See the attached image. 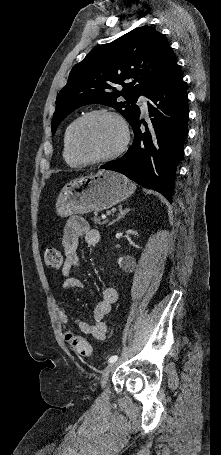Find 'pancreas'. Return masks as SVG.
<instances>
[{
  "mask_svg": "<svg viewBox=\"0 0 221 455\" xmlns=\"http://www.w3.org/2000/svg\"><path fill=\"white\" fill-rule=\"evenodd\" d=\"M92 220H93V222H94L95 224H98V225H102V224H105V223H106V221H102V220H101L99 217H97V216H95Z\"/></svg>",
  "mask_w": 221,
  "mask_h": 455,
  "instance_id": "cf45deb5",
  "label": "pancreas"
}]
</instances>
